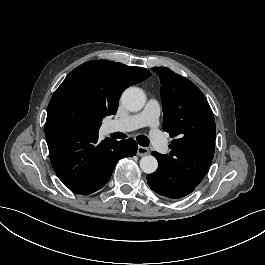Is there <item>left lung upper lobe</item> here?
<instances>
[{
	"label": "left lung upper lobe",
	"instance_id": "left-lung-upper-lobe-1",
	"mask_svg": "<svg viewBox=\"0 0 265 265\" xmlns=\"http://www.w3.org/2000/svg\"><path fill=\"white\" fill-rule=\"evenodd\" d=\"M161 81L163 129L172 140L170 154L155 152L162 161L199 185L207 174L215 150L216 125L200 89L166 67H153Z\"/></svg>",
	"mask_w": 265,
	"mask_h": 265
}]
</instances>
